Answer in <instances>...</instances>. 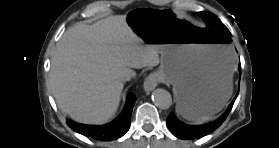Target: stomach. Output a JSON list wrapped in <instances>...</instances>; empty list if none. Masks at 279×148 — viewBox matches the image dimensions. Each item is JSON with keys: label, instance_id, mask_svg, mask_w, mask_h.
Listing matches in <instances>:
<instances>
[{"label": "stomach", "instance_id": "stomach-1", "mask_svg": "<svg viewBox=\"0 0 279 148\" xmlns=\"http://www.w3.org/2000/svg\"><path fill=\"white\" fill-rule=\"evenodd\" d=\"M127 24L161 54L160 78L173 85L179 113L186 119L223 108L231 89L234 57L212 31L175 12L153 7L130 11Z\"/></svg>", "mask_w": 279, "mask_h": 148}]
</instances>
